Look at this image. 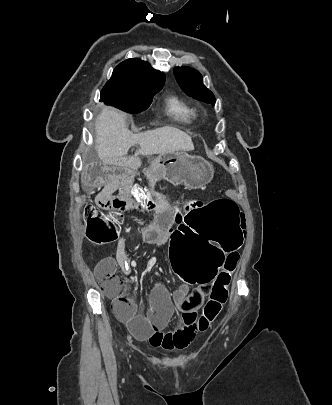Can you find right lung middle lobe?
I'll use <instances>...</instances> for the list:
<instances>
[{"mask_svg": "<svg viewBox=\"0 0 332 405\" xmlns=\"http://www.w3.org/2000/svg\"><path fill=\"white\" fill-rule=\"evenodd\" d=\"M161 86H139L130 84L121 78H111L101 91L100 101L107 105L126 111L139 113L152 103L153 96L162 89Z\"/></svg>", "mask_w": 332, "mask_h": 405, "instance_id": "1", "label": "right lung middle lobe"}]
</instances>
